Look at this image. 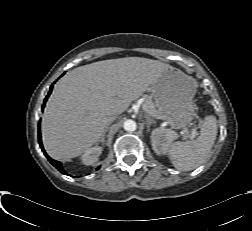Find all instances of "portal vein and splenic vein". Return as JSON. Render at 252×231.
Listing matches in <instances>:
<instances>
[{
	"label": "portal vein and splenic vein",
	"instance_id": "portal-vein-and-splenic-vein-1",
	"mask_svg": "<svg viewBox=\"0 0 252 231\" xmlns=\"http://www.w3.org/2000/svg\"><path fill=\"white\" fill-rule=\"evenodd\" d=\"M142 108H143V110H144L145 112H147L149 115L155 117L154 114L148 109L147 106L143 105ZM181 134H184V135H186V136H191V137L193 138V137H195L196 135H198V132L194 129V130L192 131V134L189 135L188 129H187V128H184V129L181 130Z\"/></svg>",
	"mask_w": 252,
	"mask_h": 231
}]
</instances>
